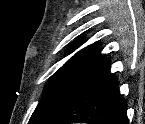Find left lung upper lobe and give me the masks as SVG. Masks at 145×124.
I'll return each mask as SVG.
<instances>
[{"instance_id":"obj_1","label":"left lung upper lobe","mask_w":145,"mask_h":124,"mask_svg":"<svg viewBox=\"0 0 145 124\" xmlns=\"http://www.w3.org/2000/svg\"><path fill=\"white\" fill-rule=\"evenodd\" d=\"M78 45L80 41H75L70 50ZM107 63L108 60L95 47L89 46L77 52L48 80L29 124H44L48 121Z\"/></svg>"}]
</instances>
